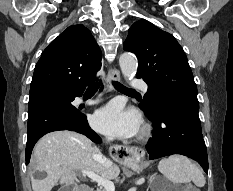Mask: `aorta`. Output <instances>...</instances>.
Wrapping results in <instances>:
<instances>
[{
	"instance_id": "obj_1",
	"label": "aorta",
	"mask_w": 233,
	"mask_h": 191,
	"mask_svg": "<svg viewBox=\"0 0 233 191\" xmlns=\"http://www.w3.org/2000/svg\"><path fill=\"white\" fill-rule=\"evenodd\" d=\"M119 65L123 76L131 80L138 68V62L136 57L131 53H123L119 58Z\"/></svg>"
}]
</instances>
